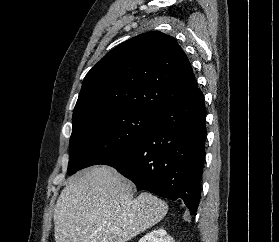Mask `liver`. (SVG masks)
I'll return each instance as SVG.
<instances>
[{"mask_svg":"<svg viewBox=\"0 0 279 242\" xmlns=\"http://www.w3.org/2000/svg\"><path fill=\"white\" fill-rule=\"evenodd\" d=\"M108 166L71 177L54 209L56 242H126L158 223L168 205Z\"/></svg>","mask_w":279,"mask_h":242,"instance_id":"1","label":"liver"}]
</instances>
